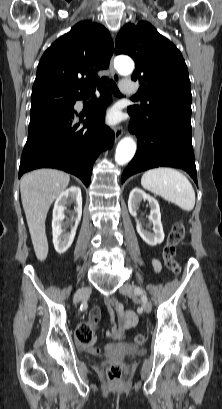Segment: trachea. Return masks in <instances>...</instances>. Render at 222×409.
I'll return each mask as SVG.
<instances>
[{
  "label": "trachea",
  "mask_w": 222,
  "mask_h": 409,
  "mask_svg": "<svg viewBox=\"0 0 222 409\" xmlns=\"http://www.w3.org/2000/svg\"><path fill=\"white\" fill-rule=\"evenodd\" d=\"M109 86H110V89H111V91H112V93L114 95L119 96V97L122 96V94L120 93V91H119V89H118V87H117V85H116V83L114 81L110 80ZM135 98L136 97H132V99H135Z\"/></svg>",
  "instance_id": "1"
}]
</instances>
